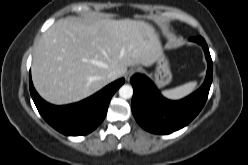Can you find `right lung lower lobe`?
I'll list each match as a JSON object with an SVG mask.
<instances>
[{
	"instance_id": "98d812e1",
	"label": "right lung lower lobe",
	"mask_w": 248,
	"mask_h": 165,
	"mask_svg": "<svg viewBox=\"0 0 248 165\" xmlns=\"http://www.w3.org/2000/svg\"><path fill=\"white\" fill-rule=\"evenodd\" d=\"M124 81L121 78L93 96L65 106H55L44 101L34 89L31 75L29 87L32 99L45 121L65 135L78 136L92 132L101 124L106 116L111 97Z\"/></svg>"
}]
</instances>
